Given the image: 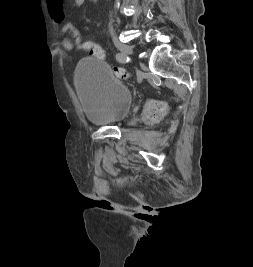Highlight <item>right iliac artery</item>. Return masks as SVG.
<instances>
[{"label": "right iliac artery", "instance_id": "1", "mask_svg": "<svg viewBox=\"0 0 253 267\" xmlns=\"http://www.w3.org/2000/svg\"><path fill=\"white\" fill-rule=\"evenodd\" d=\"M116 59L120 63H126L129 60L128 57L123 53H117L116 54Z\"/></svg>", "mask_w": 253, "mask_h": 267}]
</instances>
